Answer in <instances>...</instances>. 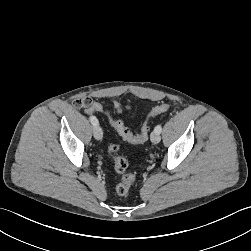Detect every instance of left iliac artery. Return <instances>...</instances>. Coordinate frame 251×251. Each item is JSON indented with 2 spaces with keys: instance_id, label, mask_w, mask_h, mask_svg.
Returning <instances> with one entry per match:
<instances>
[{
  "instance_id": "obj_1",
  "label": "left iliac artery",
  "mask_w": 251,
  "mask_h": 251,
  "mask_svg": "<svg viewBox=\"0 0 251 251\" xmlns=\"http://www.w3.org/2000/svg\"><path fill=\"white\" fill-rule=\"evenodd\" d=\"M154 131L158 132V133H161L162 131V126L161 125H157L154 129Z\"/></svg>"
}]
</instances>
